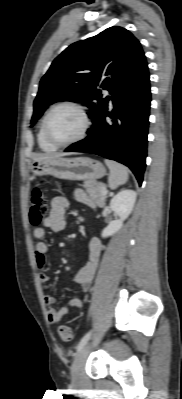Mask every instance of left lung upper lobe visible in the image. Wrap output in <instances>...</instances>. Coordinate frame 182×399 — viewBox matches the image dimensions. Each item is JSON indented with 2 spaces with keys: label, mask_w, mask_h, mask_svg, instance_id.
<instances>
[{
  "label": "left lung upper lobe",
  "mask_w": 182,
  "mask_h": 399,
  "mask_svg": "<svg viewBox=\"0 0 182 399\" xmlns=\"http://www.w3.org/2000/svg\"><path fill=\"white\" fill-rule=\"evenodd\" d=\"M146 63L139 41L122 27L75 42L53 62L40 81L31 124L57 101L80 102L90 108L93 121L108 105L100 89L112 95Z\"/></svg>",
  "instance_id": "1"
}]
</instances>
